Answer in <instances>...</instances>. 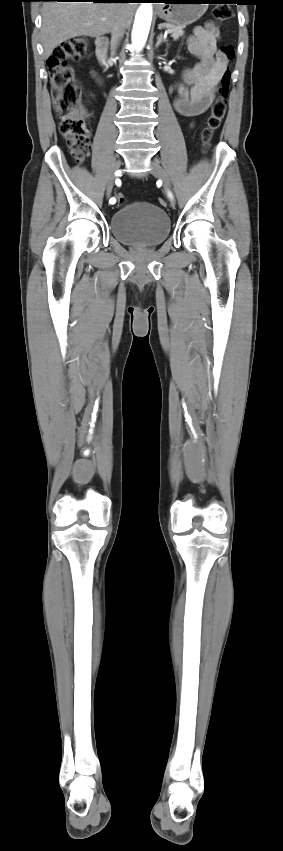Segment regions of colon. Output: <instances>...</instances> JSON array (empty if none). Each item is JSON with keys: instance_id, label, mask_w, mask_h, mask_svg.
<instances>
[{"instance_id": "obj_1", "label": "colon", "mask_w": 283, "mask_h": 851, "mask_svg": "<svg viewBox=\"0 0 283 851\" xmlns=\"http://www.w3.org/2000/svg\"><path fill=\"white\" fill-rule=\"evenodd\" d=\"M232 9L227 5L217 6L213 10V16L219 24H224L231 19ZM88 50V41L85 37H74L61 43L47 61L50 75L53 97L55 99V110L60 121L59 130L66 141L75 146L72 155L77 162H81L90 149V134L87 122L80 105V92L74 78V70L70 62L82 59ZM222 53L227 59L234 57V49L231 45L222 47ZM230 87V74L225 72L222 76L219 88L216 91L215 100L211 107V113L207 119V125L202 132L204 148H207L215 131L220 127L227 110V99ZM161 206H165L164 199L158 200ZM125 203L122 195L117 196V204Z\"/></svg>"}]
</instances>
